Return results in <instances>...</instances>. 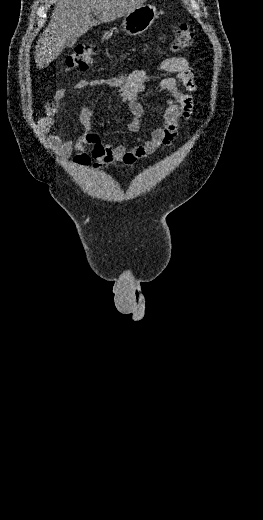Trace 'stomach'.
Returning <instances> with one entry per match:
<instances>
[{"mask_svg": "<svg viewBox=\"0 0 263 520\" xmlns=\"http://www.w3.org/2000/svg\"><path fill=\"white\" fill-rule=\"evenodd\" d=\"M157 18V9L150 4H142L127 13L123 19V30L130 36L144 33Z\"/></svg>", "mask_w": 263, "mask_h": 520, "instance_id": "stomach-1", "label": "stomach"}]
</instances>
